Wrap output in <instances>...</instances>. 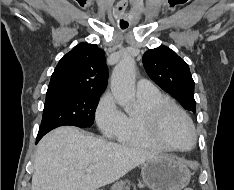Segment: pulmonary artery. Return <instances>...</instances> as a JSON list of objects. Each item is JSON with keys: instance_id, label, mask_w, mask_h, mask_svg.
<instances>
[{"instance_id": "1", "label": "pulmonary artery", "mask_w": 234, "mask_h": 190, "mask_svg": "<svg viewBox=\"0 0 234 190\" xmlns=\"http://www.w3.org/2000/svg\"><path fill=\"white\" fill-rule=\"evenodd\" d=\"M157 91L155 85L146 79H141L137 83V94L138 95H146L151 94Z\"/></svg>"}]
</instances>
